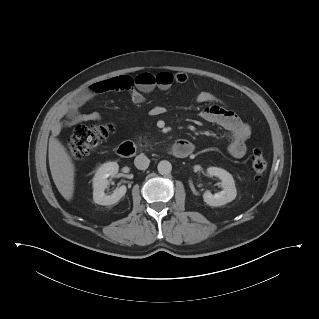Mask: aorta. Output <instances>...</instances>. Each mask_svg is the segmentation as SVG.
<instances>
[{
  "label": "aorta",
  "instance_id": "obj_1",
  "mask_svg": "<svg viewBox=\"0 0 319 319\" xmlns=\"http://www.w3.org/2000/svg\"><path fill=\"white\" fill-rule=\"evenodd\" d=\"M158 172L162 175H167L172 171V165L167 160H162L158 163L157 166Z\"/></svg>",
  "mask_w": 319,
  "mask_h": 319
}]
</instances>
